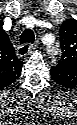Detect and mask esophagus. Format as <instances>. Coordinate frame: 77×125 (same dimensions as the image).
<instances>
[{"label": "esophagus", "instance_id": "1", "mask_svg": "<svg viewBox=\"0 0 77 125\" xmlns=\"http://www.w3.org/2000/svg\"><path fill=\"white\" fill-rule=\"evenodd\" d=\"M33 50H34V45L33 44L25 43V44L18 47L17 53L21 57H24V56L30 55Z\"/></svg>", "mask_w": 77, "mask_h": 125}]
</instances>
